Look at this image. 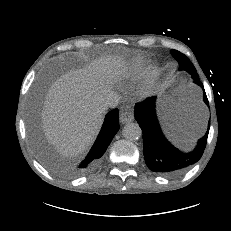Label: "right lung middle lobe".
<instances>
[{
  "label": "right lung middle lobe",
  "mask_w": 231,
  "mask_h": 231,
  "mask_svg": "<svg viewBox=\"0 0 231 231\" xmlns=\"http://www.w3.org/2000/svg\"><path fill=\"white\" fill-rule=\"evenodd\" d=\"M32 133H33V139H34V143L36 145V148L38 149V151H40V136H39V132L35 129H32L31 130Z\"/></svg>",
  "instance_id": "1"
}]
</instances>
